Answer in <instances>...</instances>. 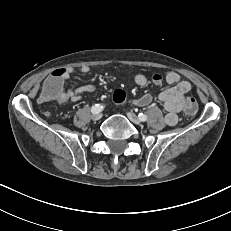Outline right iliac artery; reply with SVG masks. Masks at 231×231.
<instances>
[{"mask_svg":"<svg viewBox=\"0 0 231 231\" xmlns=\"http://www.w3.org/2000/svg\"><path fill=\"white\" fill-rule=\"evenodd\" d=\"M104 106L102 104H95L91 107V112L93 114L100 113L103 110Z\"/></svg>","mask_w":231,"mask_h":231,"instance_id":"1","label":"right iliac artery"}]
</instances>
